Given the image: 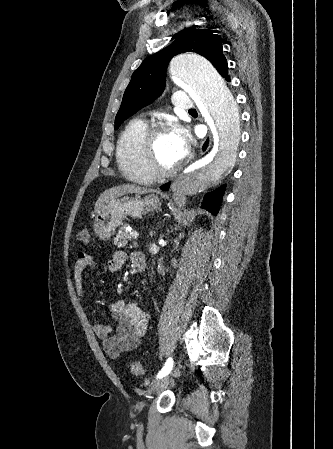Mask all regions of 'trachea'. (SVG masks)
<instances>
[{
    "mask_svg": "<svg viewBox=\"0 0 333 449\" xmlns=\"http://www.w3.org/2000/svg\"><path fill=\"white\" fill-rule=\"evenodd\" d=\"M189 112H196V110L195 109H190Z\"/></svg>",
    "mask_w": 333,
    "mask_h": 449,
    "instance_id": "1",
    "label": "trachea"
}]
</instances>
